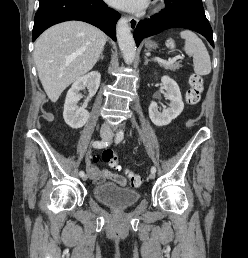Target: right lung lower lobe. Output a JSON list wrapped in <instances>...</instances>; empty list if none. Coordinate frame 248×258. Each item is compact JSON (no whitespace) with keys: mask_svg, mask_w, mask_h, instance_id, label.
I'll use <instances>...</instances> for the list:
<instances>
[{"mask_svg":"<svg viewBox=\"0 0 248 258\" xmlns=\"http://www.w3.org/2000/svg\"><path fill=\"white\" fill-rule=\"evenodd\" d=\"M120 14L103 0H39L32 32L33 41L50 26L69 20L90 23L116 41L115 25Z\"/></svg>","mask_w":248,"mask_h":258,"instance_id":"98d812e1","label":"right lung lower lobe"}]
</instances>
